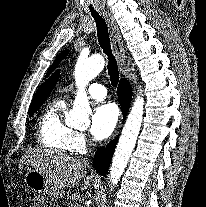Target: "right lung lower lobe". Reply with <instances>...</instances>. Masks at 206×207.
Here are the masks:
<instances>
[{
  "label": "right lung lower lobe",
  "mask_w": 206,
  "mask_h": 207,
  "mask_svg": "<svg viewBox=\"0 0 206 207\" xmlns=\"http://www.w3.org/2000/svg\"><path fill=\"white\" fill-rule=\"evenodd\" d=\"M118 100L122 108L123 115L125 116L132 99V89L129 82L123 78L120 80L117 88ZM116 140L111 141L106 148L101 147L94 155L93 163L95 169L100 175H106L107 169L110 166V162L113 156Z\"/></svg>",
  "instance_id": "1"
}]
</instances>
